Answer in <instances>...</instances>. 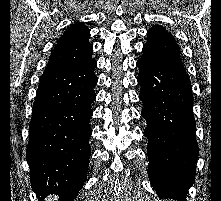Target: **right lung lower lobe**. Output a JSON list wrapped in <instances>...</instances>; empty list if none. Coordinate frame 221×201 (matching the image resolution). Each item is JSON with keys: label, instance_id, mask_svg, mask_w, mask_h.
Segmentation results:
<instances>
[{"label": "right lung lower lobe", "instance_id": "1", "mask_svg": "<svg viewBox=\"0 0 221 201\" xmlns=\"http://www.w3.org/2000/svg\"><path fill=\"white\" fill-rule=\"evenodd\" d=\"M94 62L78 69L46 68L36 93L26 160L37 197L72 201L86 180L97 84Z\"/></svg>", "mask_w": 221, "mask_h": 201}]
</instances>
